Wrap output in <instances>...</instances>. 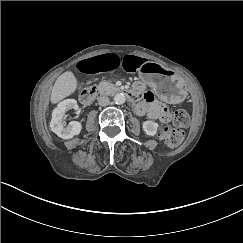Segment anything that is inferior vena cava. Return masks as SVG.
<instances>
[{
    "label": "inferior vena cava",
    "mask_w": 243,
    "mask_h": 243,
    "mask_svg": "<svg viewBox=\"0 0 243 243\" xmlns=\"http://www.w3.org/2000/svg\"><path fill=\"white\" fill-rule=\"evenodd\" d=\"M109 103H110V99L107 96H100L98 98V104L100 106H107V105H109Z\"/></svg>",
    "instance_id": "1"
}]
</instances>
